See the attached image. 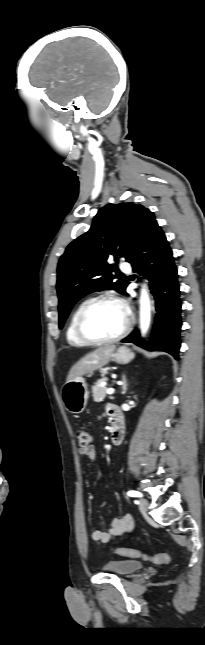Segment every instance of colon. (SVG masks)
Segmentation results:
<instances>
[{"mask_svg": "<svg viewBox=\"0 0 205 645\" xmlns=\"http://www.w3.org/2000/svg\"><path fill=\"white\" fill-rule=\"evenodd\" d=\"M75 435L78 441V444L81 448H86L90 445L91 443V434L90 432L84 428V427H78L75 430ZM115 552L119 555L122 556H128V557H133V558H138L142 557L145 559H150L156 563L160 564H165L169 561V556L167 553H159L155 555H147L145 553H142L139 550L135 549H129V548H116Z\"/></svg>", "mask_w": 205, "mask_h": 645, "instance_id": "5ec220e1", "label": "colon"}]
</instances>
